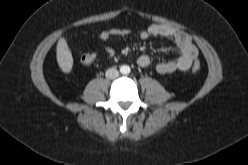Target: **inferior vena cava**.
Segmentation results:
<instances>
[{"instance_id":"inferior-vena-cava-1","label":"inferior vena cava","mask_w":248,"mask_h":165,"mask_svg":"<svg viewBox=\"0 0 248 165\" xmlns=\"http://www.w3.org/2000/svg\"><path fill=\"white\" fill-rule=\"evenodd\" d=\"M105 76L108 79H115L119 76V71L115 68H109L107 69V71L105 72Z\"/></svg>"}]
</instances>
